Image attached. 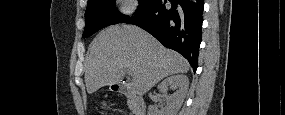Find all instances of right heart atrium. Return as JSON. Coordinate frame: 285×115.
<instances>
[{"instance_id":"1","label":"right heart atrium","mask_w":285,"mask_h":115,"mask_svg":"<svg viewBox=\"0 0 285 115\" xmlns=\"http://www.w3.org/2000/svg\"><path fill=\"white\" fill-rule=\"evenodd\" d=\"M136 10L135 1H123L121 4V12L125 16H131Z\"/></svg>"}]
</instances>
